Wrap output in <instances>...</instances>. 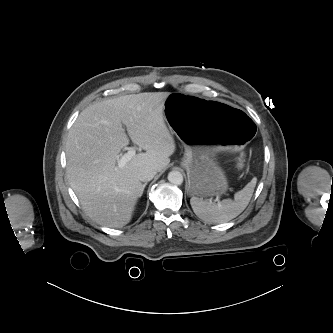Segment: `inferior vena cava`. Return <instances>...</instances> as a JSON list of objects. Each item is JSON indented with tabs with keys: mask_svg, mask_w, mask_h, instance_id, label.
<instances>
[{
	"mask_svg": "<svg viewBox=\"0 0 333 333\" xmlns=\"http://www.w3.org/2000/svg\"><path fill=\"white\" fill-rule=\"evenodd\" d=\"M157 170L152 167H141L138 169L136 173V177L139 181L142 182H148L153 179V177L156 175Z\"/></svg>",
	"mask_w": 333,
	"mask_h": 333,
	"instance_id": "602c4592",
	"label": "inferior vena cava"
}]
</instances>
